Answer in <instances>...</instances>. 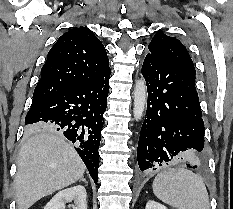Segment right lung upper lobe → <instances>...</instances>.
Listing matches in <instances>:
<instances>
[{
	"mask_svg": "<svg viewBox=\"0 0 233 209\" xmlns=\"http://www.w3.org/2000/svg\"><path fill=\"white\" fill-rule=\"evenodd\" d=\"M109 68L101 41L86 28H74L59 37L48 53L32 104L79 87Z\"/></svg>",
	"mask_w": 233,
	"mask_h": 209,
	"instance_id": "right-lung-upper-lobe-1",
	"label": "right lung upper lobe"
}]
</instances>
